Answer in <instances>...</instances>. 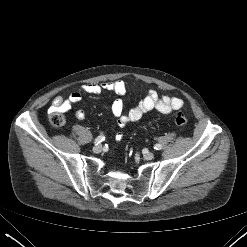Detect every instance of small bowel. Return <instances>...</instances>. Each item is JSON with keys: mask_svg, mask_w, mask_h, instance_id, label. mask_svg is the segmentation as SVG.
I'll use <instances>...</instances> for the list:
<instances>
[{"mask_svg": "<svg viewBox=\"0 0 247 247\" xmlns=\"http://www.w3.org/2000/svg\"><path fill=\"white\" fill-rule=\"evenodd\" d=\"M82 90L87 94L98 95L102 91H113L118 96L126 93V85L122 80H115L104 83H88L82 86ZM82 95L79 92L72 93L68 98L56 96L52 102V111H68L75 104L79 103ZM184 102L178 97L160 96L155 90H149L145 97L133 108L124 111L122 99H116L111 106V113L118 120V125L123 127L126 124L139 120L145 113L156 110L161 114L168 115L173 111L182 109ZM85 116L82 110L75 113V117L79 120ZM120 133V132H119ZM122 134V133H121ZM117 140V139H116Z\"/></svg>", "mask_w": 247, "mask_h": 247, "instance_id": "c3829d8e", "label": "small bowel"}]
</instances>
